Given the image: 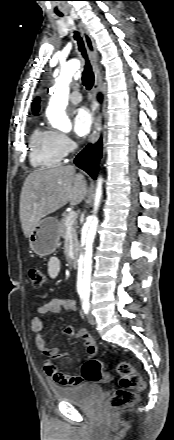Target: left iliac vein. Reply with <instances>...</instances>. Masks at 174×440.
<instances>
[{"label":"left iliac vein","instance_id":"left-iliac-vein-1","mask_svg":"<svg viewBox=\"0 0 174 440\" xmlns=\"http://www.w3.org/2000/svg\"><path fill=\"white\" fill-rule=\"evenodd\" d=\"M88 322H89L91 325H95V324H96L95 316L92 315V314H89V315H88Z\"/></svg>","mask_w":174,"mask_h":440}]
</instances>
